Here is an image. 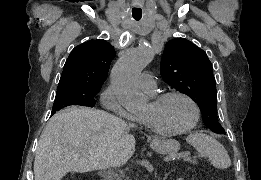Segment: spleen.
Wrapping results in <instances>:
<instances>
[{"instance_id": "spleen-1", "label": "spleen", "mask_w": 261, "mask_h": 180, "mask_svg": "<svg viewBox=\"0 0 261 180\" xmlns=\"http://www.w3.org/2000/svg\"><path fill=\"white\" fill-rule=\"evenodd\" d=\"M186 140L201 156L208 158L214 168L224 170V168L231 166L230 156H228L227 150L218 140H214L207 134H190Z\"/></svg>"}]
</instances>
